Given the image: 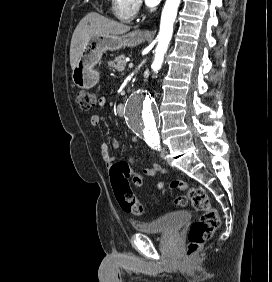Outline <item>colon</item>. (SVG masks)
Instances as JSON below:
<instances>
[{
    "instance_id": "1",
    "label": "colon",
    "mask_w": 272,
    "mask_h": 282,
    "mask_svg": "<svg viewBox=\"0 0 272 282\" xmlns=\"http://www.w3.org/2000/svg\"><path fill=\"white\" fill-rule=\"evenodd\" d=\"M75 101L84 111L91 110L97 102L94 93L88 90H79L75 94ZM129 169L123 162L116 163L112 167V176L114 181V194L120 207L134 215L145 214L144 206L136 199L130 184L128 182ZM136 185H142L143 180L136 176L133 179ZM170 186L174 189L186 190V195H178L175 202L183 207L190 200L193 207L201 211V216L190 226L188 231L187 256L192 257L201 247L211 238L215 230L220 225V219L216 207L211 202L208 193L196 187L189 186L184 180H173Z\"/></svg>"
}]
</instances>
